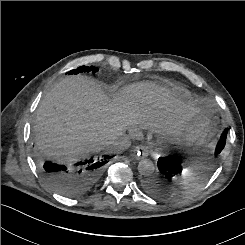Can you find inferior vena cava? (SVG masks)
I'll use <instances>...</instances> for the list:
<instances>
[{
  "instance_id": "602c4592",
  "label": "inferior vena cava",
  "mask_w": 245,
  "mask_h": 245,
  "mask_svg": "<svg viewBox=\"0 0 245 245\" xmlns=\"http://www.w3.org/2000/svg\"><path fill=\"white\" fill-rule=\"evenodd\" d=\"M131 145L130 138L127 135H120L107 143L108 148L113 153H121Z\"/></svg>"
}]
</instances>
